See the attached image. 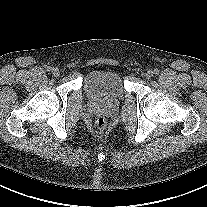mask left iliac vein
Instances as JSON below:
<instances>
[{"mask_svg":"<svg viewBox=\"0 0 207 207\" xmlns=\"http://www.w3.org/2000/svg\"><path fill=\"white\" fill-rule=\"evenodd\" d=\"M153 71L149 70L146 72L145 77L146 79H151L153 77Z\"/></svg>","mask_w":207,"mask_h":207,"instance_id":"1","label":"left iliac vein"}]
</instances>
